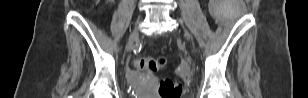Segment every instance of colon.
<instances>
[{"label":"colon","mask_w":308,"mask_h":98,"mask_svg":"<svg viewBox=\"0 0 308 98\" xmlns=\"http://www.w3.org/2000/svg\"><path fill=\"white\" fill-rule=\"evenodd\" d=\"M133 66L136 69L145 71H158L166 67V60L164 58L140 57L134 60ZM182 91L181 85H175L170 80H163L160 83L159 93L161 98H177Z\"/></svg>","instance_id":"1"}]
</instances>
